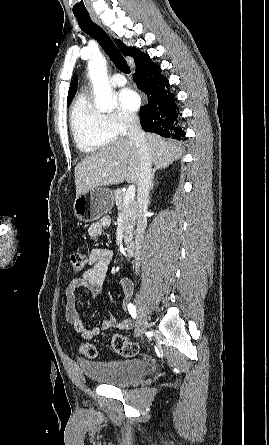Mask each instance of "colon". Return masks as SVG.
Listing matches in <instances>:
<instances>
[{
  "mask_svg": "<svg viewBox=\"0 0 269 445\" xmlns=\"http://www.w3.org/2000/svg\"><path fill=\"white\" fill-rule=\"evenodd\" d=\"M70 262L73 272L80 273L87 264L86 255L80 250H73L70 253ZM112 347L120 355L125 357H133L138 353L137 344L128 341L122 335L116 334L112 338ZM82 355L89 359L96 358L97 348L91 342H85L80 347Z\"/></svg>",
  "mask_w": 269,
  "mask_h": 445,
  "instance_id": "colon-1",
  "label": "colon"
}]
</instances>
